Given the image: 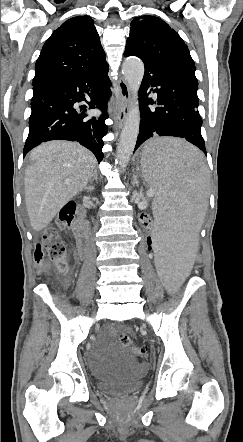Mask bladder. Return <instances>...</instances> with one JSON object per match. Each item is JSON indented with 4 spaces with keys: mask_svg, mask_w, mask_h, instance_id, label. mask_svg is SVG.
<instances>
[{
    "mask_svg": "<svg viewBox=\"0 0 243 442\" xmlns=\"http://www.w3.org/2000/svg\"><path fill=\"white\" fill-rule=\"evenodd\" d=\"M97 378V389L104 394L124 396L138 390L142 385L145 367L132 355L123 353L112 365L101 358L91 368Z\"/></svg>",
    "mask_w": 243,
    "mask_h": 442,
    "instance_id": "1",
    "label": "bladder"
}]
</instances>
